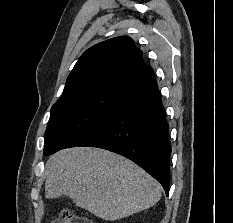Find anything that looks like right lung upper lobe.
<instances>
[{"label":"right lung upper lobe","mask_w":233,"mask_h":223,"mask_svg":"<svg viewBox=\"0 0 233 223\" xmlns=\"http://www.w3.org/2000/svg\"><path fill=\"white\" fill-rule=\"evenodd\" d=\"M154 77L130 37H116L86 50L69 74L61 97L91 90H125Z\"/></svg>","instance_id":"cb5924a9"}]
</instances>
